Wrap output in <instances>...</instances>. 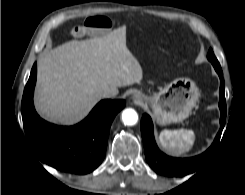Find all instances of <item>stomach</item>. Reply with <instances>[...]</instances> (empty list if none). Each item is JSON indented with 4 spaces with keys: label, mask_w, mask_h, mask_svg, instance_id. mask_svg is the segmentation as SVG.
Instances as JSON below:
<instances>
[{
    "label": "stomach",
    "mask_w": 245,
    "mask_h": 195,
    "mask_svg": "<svg viewBox=\"0 0 245 195\" xmlns=\"http://www.w3.org/2000/svg\"><path fill=\"white\" fill-rule=\"evenodd\" d=\"M144 103L153 110L160 125L179 123L188 118L200 97V91L190 78H177L152 96L141 94Z\"/></svg>",
    "instance_id": "0dacf381"
}]
</instances>
